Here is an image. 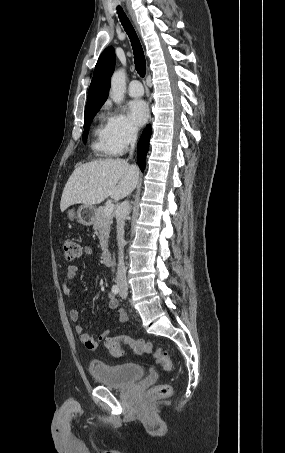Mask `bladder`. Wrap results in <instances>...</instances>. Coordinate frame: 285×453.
I'll use <instances>...</instances> for the list:
<instances>
[{
	"label": "bladder",
	"instance_id": "31cf9c89",
	"mask_svg": "<svg viewBox=\"0 0 285 453\" xmlns=\"http://www.w3.org/2000/svg\"><path fill=\"white\" fill-rule=\"evenodd\" d=\"M89 371L95 381L113 388L128 387L144 375V369L138 363L108 365L93 361L89 365Z\"/></svg>",
	"mask_w": 285,
	"mask_h": 453
}]
</instances>
